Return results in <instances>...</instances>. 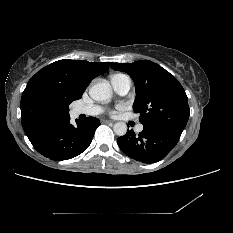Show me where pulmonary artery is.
<instances>
[{"instance_id": "obj_1", "label": "pulmonary artery", "mask_w": 233, "mask_h": 233, "mask_svg": "<svg viewBox=\"0 0 233 233\" xmlns=\"http://www.w3.org/2000/svg\"><path fill=\"white\" fill-rule=\"evenodd\" d=\"M111 83L112 86L114 88V90L119 93L120 95H125L129 92V90L131 89L132 86V82L131 79L126 76V75H116L114 77L111 78ZM101 112V109L98 106H77L75 108H73L72 113L75 116H79V115H97ZM136 130L138 132H141L143 130V125L139 124L136 127Z\"/></svg>"}]
</instances>
